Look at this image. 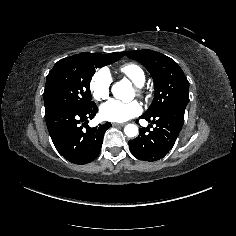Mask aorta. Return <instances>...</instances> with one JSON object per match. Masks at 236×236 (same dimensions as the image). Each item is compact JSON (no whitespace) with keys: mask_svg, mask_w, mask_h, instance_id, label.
Listing matches in <instances>:
<instances>
[{"mask_svg":"<svg viewBox=\"0 0 236 236\" xmlns=\"http://www.w3.org/2000/svg\"><path fill=\"white\" fill-rule=\"evenodd\" d=\"M118 85H119V83L115 84L114 87L118 86ZM138 132H139V129L135 124H127L124 127V133L128 137H134V136L138 135Z\"/></svg>","mask_w":236,"mask_h":236,"instance_id":"1","label":"aorta"}]
</instances>
